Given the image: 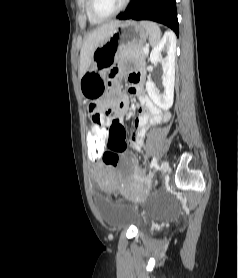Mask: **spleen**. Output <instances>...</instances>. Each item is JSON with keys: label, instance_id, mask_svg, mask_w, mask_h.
<instances>
[{"label": "spleen", "instance_id": "spleen-1", "mask_svg": "<svg viewBox=\"0 0 238 278\" xmlns=\"http://www.w3.org/2000/svg\"><path fill=\"white\" fill-rule=\"evenodd\" d=\"M149 31V41L152 46H156L160 42L161 31L156 23L145 21L143 22Z\"/></svg>", "mask_w": 238, "mask_h": 278}]
</instances>
